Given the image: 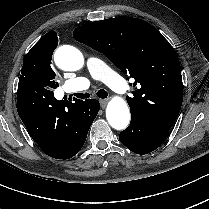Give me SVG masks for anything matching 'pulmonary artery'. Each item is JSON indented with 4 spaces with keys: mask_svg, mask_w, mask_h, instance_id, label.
<instances>
[{
    "mask_svg": "<svg viewBox=\"0 0 209 209\" xmlns=\"http://www.w3.org/2000/svg\"><path fill=\"white\" fill-rule=\"evenodd\" d=\"M87 74L80 76L73 81L65 82L64 90L67 93L86 90L91 80L106 82L114 92L120 94L124 88V83L116 72L101 58L88 56L87 58Z\"/></svg>",
    "mask_w": 209,
    "mask_h": 209,
    "instance_id": "e3ab8cb5",
    "label": "pulmonary artery"
}]
</instances>
